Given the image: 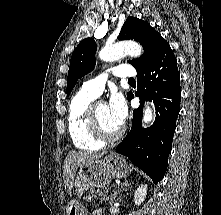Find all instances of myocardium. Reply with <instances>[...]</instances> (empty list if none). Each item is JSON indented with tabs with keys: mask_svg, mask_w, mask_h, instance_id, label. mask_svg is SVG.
Masks as SVG:
<instances>
[{
	"mask_svg": "<svg viewBox=\"0 0 221 215\" xmlns=\"http://www.w3.org/2000/svg\"><path fill=\"white\" fill-rule=\"evenodd\" d=\"M100 104H105L102 100H94L87 109V121L92 135L101 142H114L118 140L124 133V128L120 127L114 133L106 132L98 119L97 108Z\"/></svg>",
	"mask_w": 221,
	"mask_h": 215,
	"instance_id": "f54148a6",
	"label": "myocardium"
}]
</instances>
